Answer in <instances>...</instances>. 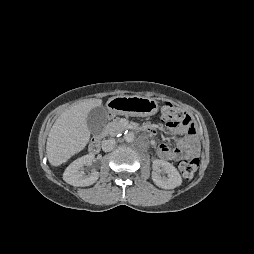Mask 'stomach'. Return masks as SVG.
<instances>
[{
	"label": "stomach",
	"instance_id": "0dacf381",
	"mask_svg": "<svg viewBox=\"0 0 254 254\" xmlns=\"http://www.w3.org/2000/svg\"><path fill=\"white\" fill-rule=\"evenodd\" d=\"M112 116L128 115L147 117L156 114L159 105L153 98L139 96H116L107 101Z\"/></svg>",
	"mask_w": 254,
	"mask_h": 254
}]
</instances>
